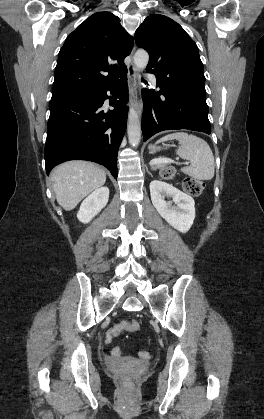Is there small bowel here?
<instances>
[{"instance_id":"1","label":"small bowel","mask_w":264,"mask_h":419,"mask_svg":"<svg viewBox=\"0 0 264 419\" xmlns=\"http://www.w3.org/2000/svg\"><path fill=\"white\" fill-rule=\"evenodd\" d=\"M118 327H119V323L118 324H116V325H114L110 330H108L107 331V333L108 332H110V331H112V330H117L118 329ZM106 333V334H107ZM119 333H117V335H118ZM107 343H109V342H111V340L110 341H106ZM121 354H122V350H121V348L120 347H115V348H113L112 349V351H111V355L113 356V357H119V356H121Z\"/></svg>"}]
</instances>
